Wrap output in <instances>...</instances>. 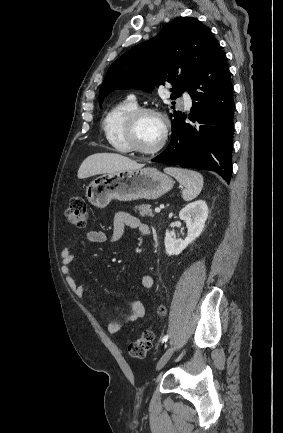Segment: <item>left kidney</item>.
Returning <instances> with one entry per match:
<instances>
[{"instance_id": "obj_1", "label": "left kidney", "mask_w": 283, "mask_h": 433, "mask_svg": "<svg viewBox=\"0 0 283 433\" xmlns=\"http://www.w3.org/2000/svg\"><path fill=\"white\" fill-rule=\"evenodd\" d=\"M208 217V206L204 200H197L187 204L180 212L179 218L186 222L188 233L186 238L176 239L174 235L166 231L165 249L169 256L179 255L202 233Z\"/></svg>"}]
</instances>
